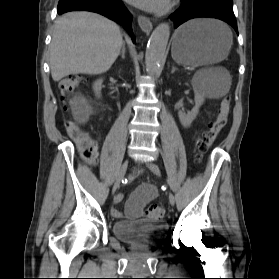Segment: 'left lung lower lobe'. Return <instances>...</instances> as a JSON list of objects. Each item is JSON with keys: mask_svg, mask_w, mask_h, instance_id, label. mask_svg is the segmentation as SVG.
I'll return each mask as SVG.
<instances>
[{"mask_svg": "<svg viewBox=\"0 0 279 279\" xmlns=\"http://www.w3.org/2000/svg\"><path fill=\"white\" fill-rule=\"evenodd\" d=\"M181 2L180 8L171 15L175 28L192 18L210 17L225 21L238 34L233 0H181Z\"/></svg>", "mask_w": 279, "mask_h": 279, "instance_id": "0a47b994", "label": "left lung lower lobe"}]
</instances>
